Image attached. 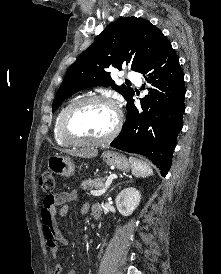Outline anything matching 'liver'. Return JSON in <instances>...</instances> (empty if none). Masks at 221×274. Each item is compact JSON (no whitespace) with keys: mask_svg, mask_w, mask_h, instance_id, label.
Wrapping results in <instances>:
<instances>
[{"mask_svg":"<svg viewBox=\"0 0 221 274\" xmlns=\"http://www.w3.org/2000/svg\"><path fill=\"white\" fill-rule=\"evenodd\" d=\"M67 154H70L72 156L76 157H82V158H93L96 157L98 154V151L94 148H87L82 150H61Z\"/></svg>","mask_w":221,"mask_h":274,"instance_id":"6515ba94","label":"liver"}]
</instances>
